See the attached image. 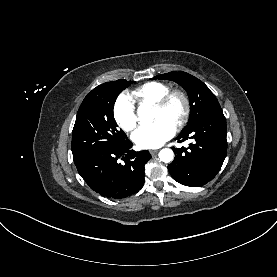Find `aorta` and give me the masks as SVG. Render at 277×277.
<instances>
[{"label":"aorta","instance_id":"aorta-1","mask_svg":"<svg viewBox=\"0 0 277 277\" xmlns=\"http://www.w3.org/2000/svg\"><path fill=\"white\" fill-rule=\"evenodd\" d=\"M138 117L144 123L150 124L153 121V113L150 106L140 105L137 110ZM159 158L162 162L169 163L174 158V153L169 148H164L159 152Z\"/></svg>","mask_w":277,"mask_h":277}]
</instances>
